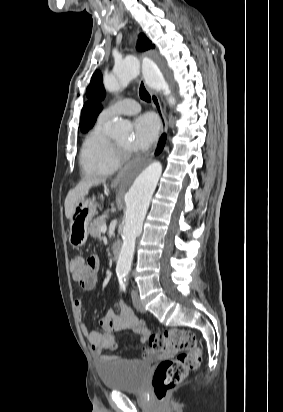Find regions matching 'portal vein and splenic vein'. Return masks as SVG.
I'll return each instance as SVG.
<instances>
[{"label": "portal vein and splenic vein", "instance_id": "obj_1", "mask_svg": "<svg viewBox=\"0 0 283 412\" xmlns=\"http://www.w3.org/2000/svg\"><path fill=\"white\" fill-rule=\"evenodd\" d=\"M100 231H101L102 233H105V232L107 231L106 225L101 226Z\"/></svg>", "mask_w": 283, "mask_h": 412}]
</instances>
